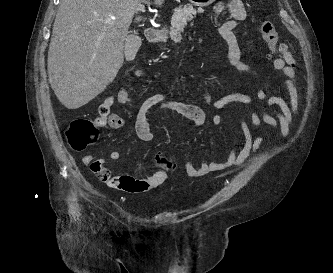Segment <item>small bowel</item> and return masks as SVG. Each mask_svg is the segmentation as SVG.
I'll return each mask as SVG.
<instances>
[{
  "mask_svg": "<svg viewBox=\"0 0 333 273\" xmlns=\"http://www.w3.org/2000/svg\"><path fill=\"white\" fill-rule=\"evenodd\" d=\"M229 11L233 17L232 20L224 22L219 27V34L225 41L228 47V59L230 65L240 74L248 75L259 80L260 74L248 63L243 61L241 50L238 44L235 30L240 21L246 17V12L243 4L238 0H227L220 2L216 6V12L222 13ZM271 55L275 56L272 61V70L284 75L283 85L289 95V102L282 97H269L266 91L259 85L255 84L256 98L264 102L268 107L273 109V114L267 110L258 113L252 110L249 114L250 122L255 128H261L266 125L273 131H278L283 138H287L293 127L294 116L299 107V93L297 82V64L296 60L284 43H278L274 50H271ZM136 77H143V70H136ZM201 101L209 108L220 110L231 103H239L251 105L252 98L242 93H229L221 97H216L209 92L200 94ZM132 97L127 89H121L116 96H109L105 100L99 101L97 107V123H106L102 125L109 126L113 129H120L125 126V120L117 116L116 111H111L115 101L126 104L131 102ZM162 110L173 111L183 117L189 119L196 125H202L205 122V113L199 106L174 100L167 93H157L149 96L140 105L136 114L135 129L138 138L142 141H151L154 138L148 115L150 112L156 113ZM108 118L109 121H108ZM212 124L218 126L224 121L223 116L214 113L210 116ZM239 127L244 136V145L238 149V145L234 144L228 152L227 158L224 161H201L198 166H195L187 157H182L181 161L186 174L193 179L205 177L211 172L225 171L231 168L241 166L251 154H256L263 143V137L258 136L253 138L249 123L243 117H239ZM109 157L113 161L120 159L121 154L118 151H111ZM165 158L161 154L156 157V162ZM167 159V158H166ZM95 160L92 154H86L82 157V162L85 165H90ZM170 161V160H169ZM171 162V161H170ZM172 168V162H171ZM171 169L163 164H159V169L149 177L135 178L128 175H117L114 177L111 187L130 193H143L162 185Z\"/></svg>",
  "mask_w": 333,
  "mask_h": 273,
  "instance_id": "1",
  "label": "small bowel"
}]
</instances>
